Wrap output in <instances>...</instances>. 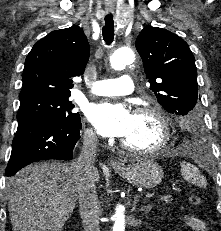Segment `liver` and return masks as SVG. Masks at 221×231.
I'll return each instance as SVG.
<instances>
[{"label": "liver", "instance_id": "1", "mask_svg": "<svg viewBox=\"0 0 221 231\" xmlns=\"http://www.w3.org/2000/svg\"><path fill=\"white\" fill-rule=\"evenodd\" d=\"M76 181L74 162L31 164L9 178L6 189L13 230L62 231L78 200Z\"/></svg>", "mask_w": 221, "mask_h": 231}]
</instances>
